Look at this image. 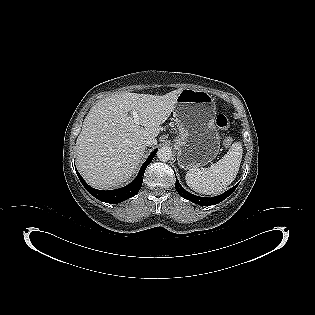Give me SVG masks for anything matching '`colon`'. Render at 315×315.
Returning <instances> with one entry per match:
<instances>
[{"label":"colon","instance_id":"obj_1","mask_svg":"<svg viewBox=\"0 0 315 315\" xmlns=\"http://www.w3.org/2000/svg\"><path fill=\"white\" fill-rule=\"evenodd\" d=\"M215 124L220 130H228L230 127L228 118L223 114H219L216 117ZM221 144L223 147L228 148L232 144V139L230 137H225L222 139Z\"/></svg>","mask_w":315,"mask_h":315}]
</instances>
